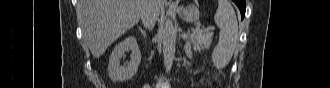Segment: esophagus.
<instances>
[{
  "mask_svg": "<svg viewBox=\"0 0 330 88\" xmlns=\"http://www.w3.org/2000/svg\"><path fill=\"white\" fill-rule=\"evenodd\" d=\"M164 2L166 5H170V6L174 5V2L172 0H164Z\"/></svg>",
  "mask_w": 330,
  "mask_h": 88,
  "instance_id": "34e87169",
  "label": "esophagus"
}]
</instances>
